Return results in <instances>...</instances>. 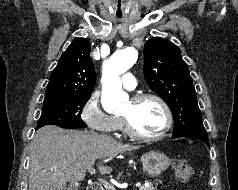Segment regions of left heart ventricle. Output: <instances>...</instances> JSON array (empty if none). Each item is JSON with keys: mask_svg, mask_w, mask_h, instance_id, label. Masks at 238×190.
<instances>
[{"mask_svg": "<svg viewBox=\"0 0 238 190\" xmlns=\"http://www.w3.org/2000/svg\"><path fill=\"white\" fill-rule=\"evenodd\" d=\"M121 115L128 116L134 129L144 135H155L165 126L164 111L154 100H144L137 104L129 100Z\"/></svg>", "mask_w": 238, "mask_h": 190, "instance_id": "left-heart-ventricle-1", "label": "left heart ventricle"}]
</instances>
